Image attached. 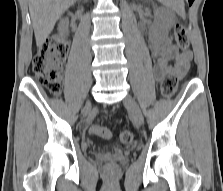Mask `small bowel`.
<instances>
[{
  "instance_id": "1",
  "label": "small bowel",
  "mask_w": 223,
  "mask_h": 191,
  "mask_svg": "<svg viewBox=\"0 0 223 191\" xmlns=\"http://www.w3.org/2000/svg\"><path fill=\"white\" fill-rule=\"evenodd\" d=\"M150 50L154 56V70L157 78H162L172 67L179 77L184 76L189 68L192 58L190 51H181L179 48L168 41L152 40Z\"/></svg>"
}]
</instances>
